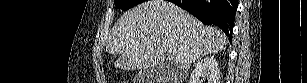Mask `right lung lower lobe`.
<instances>
[{
  "instance_id": "98d812e1",
  "label": "right lung lower lobe",
  "mask_w": 307,
  "mask_h": 83,
  "mask_svg": "<svg viewBox=\"0 0 307 83\" xmlns=\"http://www.w3.org/2000/svg\"><path fill=\"white\" fill-rule=\"evenodd\" d=\"M204 24H214L232 39L238 0H172Z\"/></svg>"
}]
</instances>
